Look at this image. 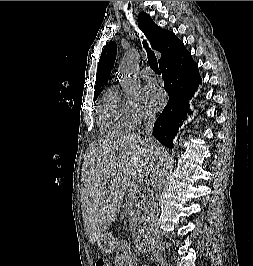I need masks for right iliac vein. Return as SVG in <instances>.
<instances>
[{
  "label": "right iliac vein",
  "instance_id": "1",
  "mask_svg": "<svg viewBox=\"0 0 253 266\" xmlns=\"http://www.w3.org/2000/svg\"><path fill=\"white\" fill-rule=\"evenodd\" d=\"M156 260L159 266H168L163 257L157 256Z\"/></svg>",
  "mask_w": 253,
  "mask_h": 266
}]
</instances>
